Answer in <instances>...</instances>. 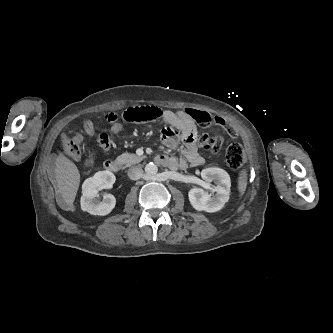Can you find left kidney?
<instances>
[{"label": "left kidney", "mask_w": 333, "mask_h": 333, "mask_svg": "<svg viewBox=\"0 0 333 333\" xmlns=\"http://www.w3.org/2000/svg\"><path fill=\"white\" fill-rule=\"evenodd\" d=\"M201 177L208 184L213 181L215 186H209L211 193L201 188L191 189L188 193L191 205L197 211L217 212L221 210L229 200L231 187L229 174L221 168L209 167L201 171Z\"/></svg>", "instance_id": "left-kidney-1"}]
</instances>
